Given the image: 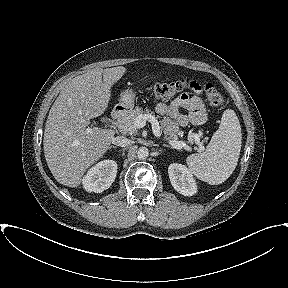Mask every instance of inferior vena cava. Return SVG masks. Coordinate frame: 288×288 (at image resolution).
Masks as SVG:
<instances>
[{
  "mask_svg": "<svg viewBox=\"0 0 288 288\" xmlns=\"http://www.w3.org/2000/svg\"><path fill=\"white\" fill-rule=\"evenodd\" d=\"M112 144L125 147L130 144V140L124 136H117L112 139Z\"/></svg>",
  "mask_w": 288,
  "mask_h": 288,
  "instance_id": "obj_1",
  "label": "inferior vena cava"
}]
</instances>
